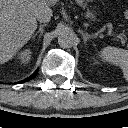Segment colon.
Wrapping results in <instances>:
<instances>
[{
  "label": "colon",
  "mask_w": 128,
  "mask_h": 128,
  "mask_svg": "<svg viewBox=\"0 0 128 128\" xmlns=\"http://www.w3.org/2000/svg\"><path fill=\"white\" fill-rule=\"evenodd\" d=\"M125 18L128 20V9L125 11Z\"/></svg>",
  "instance_id": "obj_1"
}]
</instances>
